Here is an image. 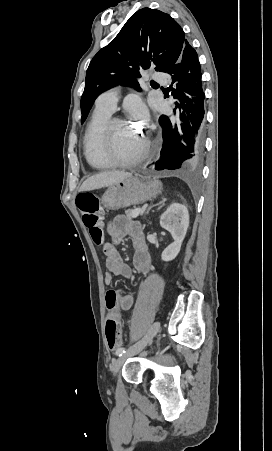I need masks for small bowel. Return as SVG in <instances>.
I'll return each instance as SVG.
<instances>
[{
	"label": "small bowel",
	"instance_id": "1",
	"mask_svg": "<svg viewBox=\"0 0 272 451\" xmlns=\"http://www.w3.org/2000/svg\"><path fill=\"white\" fill-rule=\"evenodd\" d=\"M106 231L111 241L102 245V251L105 255L107 272L104 275V282L110 284L113 275L131 277L134 271L150 274L153 269V262L144 238L143 228L138 221L119 215L114 217L107 225ZM128 236L131 239L134 254L132 258L133 269L129 267L122 259L117 249V245ZM106 308L118 322L121 320V311L130 310L133 306V297L122 291L109 290L105 298ZM121 327L119 326V334Z\"/></svg>",
	"mask_w": 272,
	"mask_h": 451
}]
</instances>
